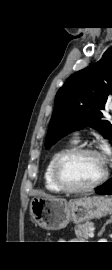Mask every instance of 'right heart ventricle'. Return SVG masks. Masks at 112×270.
Listing matches in <instances>:
<instances>
[{
  "label": "right heart ventricle",
  "mask_w": 112,
  "mask_h": 270,
  "mask_svg": "<svg viewBox=\"0 0 112 270\" xmlns=\"http://www.w3.org/2000/svg\"><path fill=\"white\" fill-rule=\"evenodd\" d=\"M72 147V144L61 147L57 150H55L51 156L49 157L47 164L45 166L44 169V173H43V179H44V185L46 187V189L52 193H63L64 191L62 189H60L54 179H53V165H54V161L57 158V156L62 153L63 151L69 149Z\"/></svg>",
  "instance_id": "1"
}]
</instances>
